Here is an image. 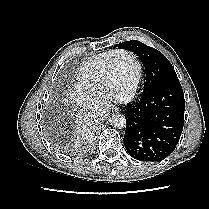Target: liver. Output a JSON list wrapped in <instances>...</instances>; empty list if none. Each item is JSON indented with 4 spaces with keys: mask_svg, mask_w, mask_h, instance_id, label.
<instances>
[{
    "mask_svg": "<svg viewBox=\"0 0 209 209\" xmlns=\"http://www.w3.org/2000/svg\"><path fill=\"white\" fill-rule=\"evenodd\" d=\"M76 116L78 117L76 120L78 132L84 136L91 131L92 124L88 119L83 118L79 113Z\"/></svg>",
    "mask_w": 209,
    "mask_h": 209,
    "instance_id": "obj_1",
    "label": "liver"
}]
</instances>
